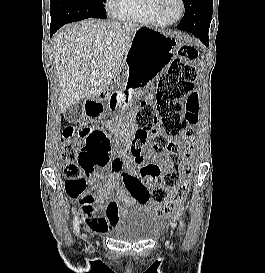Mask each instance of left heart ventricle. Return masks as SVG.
<instances>
[{
	"mask_svg": "<svg viewBox=\"0 0 265 273\" xmlns=\"http://www.w3.org/2000/svg\"><path fill=\"white\" fill-rule=\"evenodd\" d=\"M164 13L169 19H177L181 13V4L179 0H165Z\"/></svg>",
	"mask_w": 265,
	"mask_h": 273,
	"instance_id": "left-heart-ventricle-1",
	"label": "left heart ventricle"
}]
</instances>
